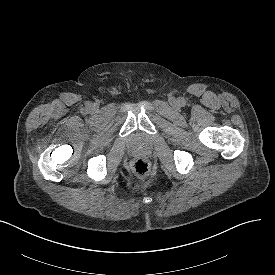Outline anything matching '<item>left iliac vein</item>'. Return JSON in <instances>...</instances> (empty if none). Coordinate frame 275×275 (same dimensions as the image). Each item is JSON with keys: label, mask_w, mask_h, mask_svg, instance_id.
Segmentation results:
<instances>
[{"label": "left iliac vein", "mask_w": 275, "mask_h": 275, "mask_svg": "<svg viewBox=\"0 0 275 275\" xmlns=\"http://www.w3.org/2000/svg\"><path fill=\"white\" fill-rule=\"evenodd\" d=\"M170 104L174 107L177 108L178 107V102L175 98H170Z\"/></svg>", "instance_id": "obj_1"}]
</instances>
